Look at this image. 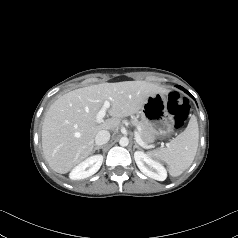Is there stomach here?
<instances>
[{
    "mask_svg": "<svg viewBox=\"0 0 238 238\" xmlns=\"http://www.w3.org/2000/svg\"><path fill=\"white\" fill-rule=\"evenodd\" d=\"M168 99L162 93L150 95L139 111L141 120L154 130V138L165 136L174 129V118L167 109Z\"/></svg>",
    "mask_w": 238,
    "mask_h": 238,
    "instance_id": "obj_1",
    "label": "stomach"
}]
</instances>
